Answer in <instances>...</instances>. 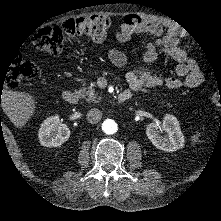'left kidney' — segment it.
I'll list each match as a JSON object with an SVG mask.
<instances>
[{
    "label": "left kidney",
    "mask_w": 221,
    "mask_h": 221,
    "mask_svg": "<svg viewBox=\"0 0 221 221\" xmlns=\"http://www.w3.org/2000/svg\"><path fill=\"white\" fill-rule=\"evenodd\" d=\"M166 131V135H160L159 129ZM147 137L152 144L163 151L171 152L181 149L186 142L184 133L175 114L165 113L163 122L151 123L146 127Z\"/></svg>",
    "instance_id": "5707ae66"
}]
</instances>
